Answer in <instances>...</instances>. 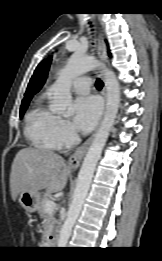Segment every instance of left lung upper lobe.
I'll return each mask as SVG.
<instances>
[{"instance_id": "obj_1", "label": "left lung upper lobe", "mask_w": 162, "mask_h": 261, "mask_svg": "<svg viewBox=\"0 0 162 261\" xmlns=\"http://www.w3.org/2000/svg\"><path fill=\"white\" fill-rule=\"evenodd\" d=\"M39 66H40V65H39ZM39 66H38V67H39ZM38 67H37V69H38ZM31 80H33V77H32V79H31Z\"/></svg>"}]
</instances>
